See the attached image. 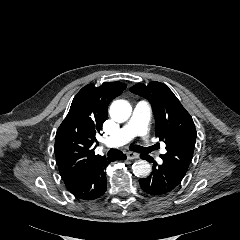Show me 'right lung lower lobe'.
I'll use <instances>...</instances> for the list:
<instances>
[{
	"label": "right lung lower lobe",
	"instance_id": "98d812e1",
	"mask_svg": "<svg viewBox=\"0 0 240 240\" xmlns=\"http://www.w3.org/2000/svg\"><path fill=\"white\" fill-rule=\"evenodd\" d=\"M119 159H126V155L117 154L103 159L97 166L88 171L69 191L77 198L94 200L101 197L107 189L106 166Z\"/></svg>",
	"mask_w": 240,
	"mask_h": 240
}]
</instances>
